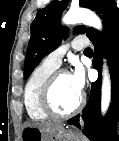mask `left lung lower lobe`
Masks as SVG:
<instances>
[{
  "instance_id": "1",
  "label": "left lung lower lobe",
  "mask_w": 119,
  "mask_h": 141,
  "mask_svg": "<svg viewBox=\"0 0 119 141\" xmlns=\"http://www.w3.org/2000/svg\"><path fill=\"white\" fill-rule=\"evenodd\" d=\"M103 33L96 32L89 37L94 45L93 66L99 72L96 82L92 83L90 97L82 111L85 122L83 133L91 141H117V121L119 118V9L104 23ZM106 53L112 82V99L106 116L101 119V67L102 56ZM80 114L68 120L69 124L79 125Z\"/></svg>"
}]
</instances>
